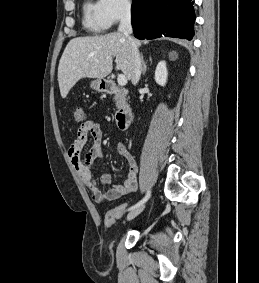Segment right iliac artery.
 <instances>
[{"label": "right iliac artery", "mask_w": 259, "mask_h": 283, "mask_svg": "<svg viewBox=\"0 0 259 283\" xmlns=\"http://www.w3.org/2000/svg\"><path fill=\"white\" fill-rule=\"evenodd\" d=\"M150 195H151V192H150V190H148L145 197L142 200H140L137 204L130 207L129 210H133L134 208H137V207L143 205L150 198Z\"/></svg>", "instance_id": "right-iliac-artery-1"}]
</instances>
